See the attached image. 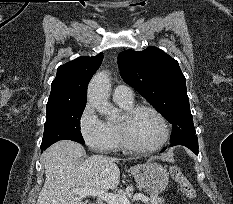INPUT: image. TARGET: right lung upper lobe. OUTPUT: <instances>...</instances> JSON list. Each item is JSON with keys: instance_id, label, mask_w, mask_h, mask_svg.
Listing matches in <instances>:
<instances>
[{"instance_id": "right-lung-upper-lobe-1", "label": "right lung upper lobe", "mask_w": 233, "mask_h": 204, "mask_svg": "<svg viewBox=\"0 0 233 204\" xmlns=\"http://www.w3.org/2000/svg\"><path fill=\"white\" fill-rule=\"evenodd\" d=\"M102 60L103 53H99L93 57H78L59 66L56 78L52 82L47 105L85 102L87 84L101 65Z\"/></svg>"}]
</instances>
